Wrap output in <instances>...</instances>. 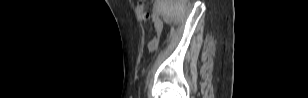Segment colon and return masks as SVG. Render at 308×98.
<instances>
[{
    "label": "colon",
    "mask_w": 308,
    "mask_h": 98,
    "mask_svg": "<svg viewBox=\"0 0 308 98\" xmlns=\"http://www.w3.org/2000/svg\"><path fill=\"white\" fill-rule=\"evenodd\" d=\"M136 10H137L139 18L142 21L146 22L148 20L149 16H148V13L145 10L144 3L143 2H138L137 6H136Z\"/></svg>",
    "instance_id": "1"
}]
</instances>
